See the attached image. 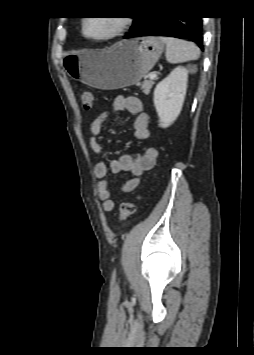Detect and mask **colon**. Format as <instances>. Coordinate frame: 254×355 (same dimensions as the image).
<instances>
[{
	"label": "colon",
	"instance_id": "5ec220e1",
	"mask_svg": "<svg viewBox=\"0 0 254 355\" xmlns=\"http://www.w3.org/2000/svg\"><path fill=\"white\" fill-rule=\"evenodd\" d=\"M80 100L82 106L86 110H91L94 106V95L90 91H83L80 94ZM136 211V202L135 201H127L123 202L119 208L118 218L120 221H125L131 215H133Z\"/></svg>",
	"mask_w": 254,
	"mask_h": 355
}]
</instances>
